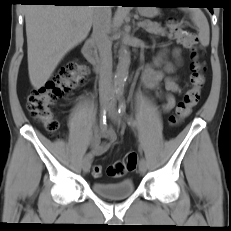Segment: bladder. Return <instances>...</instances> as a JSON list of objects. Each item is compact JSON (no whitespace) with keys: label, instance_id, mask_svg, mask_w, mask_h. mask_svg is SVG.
I'll return each mask as SVG.
<instances>
[{"label":"bladder","instance_id":"obj_1","mask_svg":"<svg viewBox=\"0 0 231 231\" xmlns=\"http://www.w3.org/2000/svg\"><path fill=\"white\" fill-rule=\"evenodd\" d=\"M134 182L126 178L118 182L104 183L93 182L92 190L99 196L108 199H123L131 196L134 192Z\"/></svg>","mask_w":231,"mask_h":231}]
</instances>
